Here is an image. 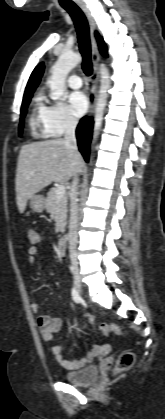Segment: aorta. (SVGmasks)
I'll list each match as a JSON object with an SVG mask.
<instances>
[{"instance_id":"1","label":"aorta","mask_w":165,"mask_h":419,"mask_svg":"<svg viewBox=\"0 0 165 419\" xmlns=\"http://www.w3.org/2000/svg\"><path fill=\"white\" fill-rule=\"evenodd\" d=\"M81 56L76 53H62L54 66L52 67V75L49 79L50 98L58 100L65 92V80L68 73L78 65ZM100 89L98 92L97 102L94 111V138L98 135L102 126L104 109L107 104L108 90L110 88V74L105 65L100 66Z\"/></svg>"}]
</instances>
